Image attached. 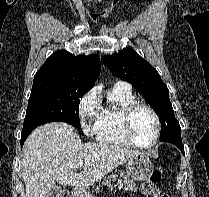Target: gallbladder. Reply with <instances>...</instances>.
I'll use <instances>...</instances> for the list:
<instances>
[{
    "mask_svg": "<svg viewBox=\"0 0 209 197\" xmlns=\"http://www.w3.org/2000/svg\"><path fill=\"white\" fill-rule=\"evenodd\" d=\"M62 192L61 185H55L49 192L48 197H59V194Z\"/></svg>",
    "mask_w": 209,
    "mask_h": 197,
    "instance_id": "obj_1",
    "label": "gallbladder"
}]
</instances>
